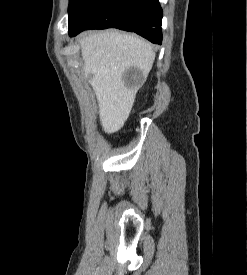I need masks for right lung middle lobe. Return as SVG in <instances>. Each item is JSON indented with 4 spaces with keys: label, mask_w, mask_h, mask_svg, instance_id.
Segmentation results:
<instances>
[{
    "label": "right lung middle lobe",
    "mask_w": 247,
    "mask_h": 275,
    "mask_svg": "<svg viewBox=\"0 0 247 275\" xmlns=\"http://www.w3.org/2000/svg\"><path fill=\"white\" fill-rule=\"evenodd\" d=\"M102 1L103 0H70L68 8L69 28L76 23L80 15Z\"/></svg>",
    "instance_id": "right-lung-middle-lobe-1"
}]
</instances>
